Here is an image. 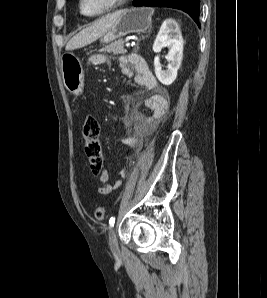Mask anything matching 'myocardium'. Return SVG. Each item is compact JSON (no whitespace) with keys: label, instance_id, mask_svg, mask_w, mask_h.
Returning <instances> with one entry per match:
<instances>
[{"label":"myocardium","instance_id":"obj_1","mask_svg":"<svg viewBox=\"0 0 267 298\" xmlns=\"http://www.w3.org/2000/svg\"><path fill=\"white\" fill-rule=\"evenodd\" d=\"M127 1L128 0H112L111 3L104 10H102L98 13H95V14H88L83 9L84 0H79V10H80L81 14H83L86 17H91V18L100 17V16H103V15L117 9L118 7H120Z\"/></svg>","mask_w":267,"mask_h":298}]
</instances>
